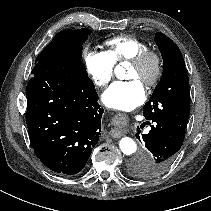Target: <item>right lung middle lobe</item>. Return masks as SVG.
<instances>
[{"mask_svg":"<svg viewBox=\"0 0 211 211\" xmlns=\"http://www.w3.org/2000/svg\"><path fill=\"white\" fill-rule=\"evenodd\" d=\"M91 34V30L82 28L80 30H66L59 32L53 40L40 53L41 55H56L76 72L88 76L81 62L82 44Z\"/></svg>","mask_w":211,"mask_h":211,"instance_id":"1","label":"right lung middle lobe"}]
</instances>
